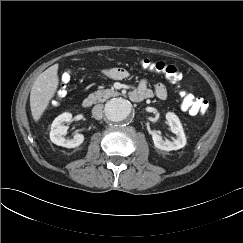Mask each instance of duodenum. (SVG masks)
<instances>
[{"mask_svg":"<svg viewBox=\"0 0 243 243\" xmlns=\"http://www.w3.org/2000/svg\"><path fill=\"white\" fill-rule=\"evenodd\" d=\"M130 98H131L132 101H136V102H137V101H141V100L144 99L143 96L138 95V94L133 93V92L130 94ZM92 105H93V99H92V98H90V97H86V98L83 99V101H82V106H83L84 108H89V107H91Z\"/></svg>","mask_w":243,"mask_h":243,"instance_id":"obj_1","label":"duodenum"}]
</instances>
